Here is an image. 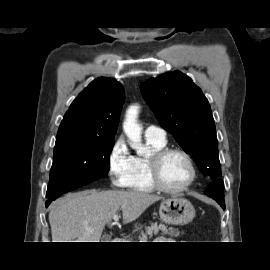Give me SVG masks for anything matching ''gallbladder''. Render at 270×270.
Here are the masks:
<instances>
[{"label":"gallbladder","mask_w":270,"mask_h":270,"mask_svg":"<svg viewBox=\"0 0 270 270\" xmlns=\"http://www.w3.org/2000/svg\"><path fill=\"white\" fill-rule=\"evenodd\" d=\"M103 239H104V240H108V239H110V237H109L108 235H105V236L103 237Z\"/></svg>","instance_id":"1"}]
</instances>
